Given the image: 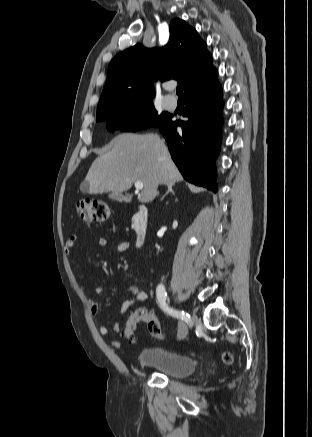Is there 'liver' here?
Returning a JSON list of instances; mask_svg holds the SVG:
<instances>
[{"label":"liver","mask_w":312,"mask_h":437,"mask_svg":"<svg viewBox=\"0 0 312 437\" xmlns=\"http://www.w3.org/2000/svg\"><path fill=\"white\" fill-rule=\"evenodd\" d=\"M109 152L100 155L91 165L81 189L89 194L111 191L120 194L133 183L141 181L143 189L138 200H154L159 185H174L182 180L168 148L156 134H120Z\"/></svg>","instance_id":"liver-1"}]
</instances>
